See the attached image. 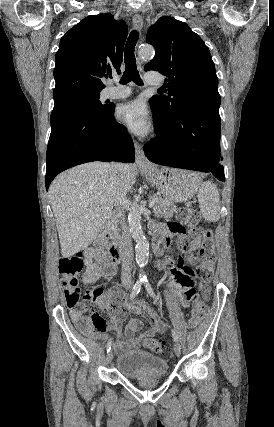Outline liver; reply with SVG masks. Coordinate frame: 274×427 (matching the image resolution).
Here are the masks:
<instances>
[{
    "label": "liver",
    "mask_w": 274,
    "mask_h": 427,
    "mask_svg": "<svg viewBox=\"0 0 274 427\" xmlns=\"http://www.w3.org/2000/svg\"><path fill=\"white\" fill-rule=\"evenodd\" d=\"M124 170L113 172L111 164L90 162L66 170L49 186L63 257L85 249L96 239L112 214L118 188L132 190L136 168L119 164Z\"/></svg>",
    "instance_id": "liver-1"
}]
</instances>
